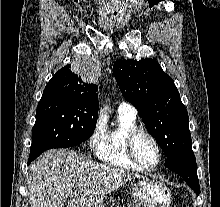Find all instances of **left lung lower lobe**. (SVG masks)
<instances>
[{
  "label": "left lung lower lobe",
  "instance_id": "0a47b994",
  "mask_svg": "<svg viewBox=\"0 0 220 207\" xmlns=\"http://www.w3.org/2000/svg\"><path fill=\"white\" fill-rule=\"evenodd\" d=\"M165 166L179 174L197 196L199 195L200 186L197 177L196 159L192 149L184 154L167 157Z\"/></svg>",
  "mask_w": 220,
  "mask_h": 207
}]
</instances>
